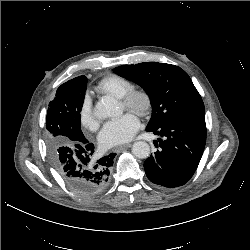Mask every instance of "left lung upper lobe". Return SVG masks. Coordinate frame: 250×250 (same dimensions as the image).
Listing matches in <instances>:
<instances>
[{
    "label": "left lung upper lobe",
    "mask_w": 250,
    "mask_h": 250,
    "mask_svg": "<svg viewBox=\"0 0 250 250\" xmlns=\"http://www.w3.org/2000/svg\"><path fill=\"white\" fill-rule=\"evenodd\" d=\"M114 72L144 88L152 105L147 128L188 119L205 117L200 94L191 78L180 67L157 62L122 65Z\"/></svg>",
    "instance_id": "5c2ea615"
}]
</instances>
